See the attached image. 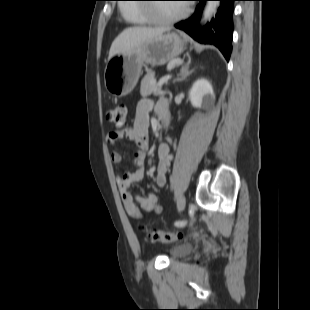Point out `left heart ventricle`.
<instances>
[{"mask_svg":"<svg viewBox=\"0 0 310 310\" xmlns=\"http://www.w3.org/2000/svg\"><path fill=\"white\" fill-rule=\"evenodd\" d=\"M156 13L159 16H170L182 10V6L178 4H160L156 8Z\"/></svg>","mask_w":310,"mask_h":310,"instance_id":"left-heart-ventricle-1","label":"left heart ventricle"}]
</instances>
